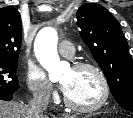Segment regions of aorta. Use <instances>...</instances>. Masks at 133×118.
<instances>
[{
    "mask_svg": "<svg viewBox=\"0 0 133 118\" xmlns=\"http://www.w3.org/2000/svg\"><path fill=\"white\" fill-rule=\"evenodd\" d=\"M58 35L52 27L43 28L36 36L35 55L40 64L48 71L50 80H58L61 73L68 68L66 62L60 61L57 53Z\"/></svg>",
    "mask_w": 133,
    "mask_h": 118,
    "instance_id": "1",
    "label": "aorta"
}]
</instances>
